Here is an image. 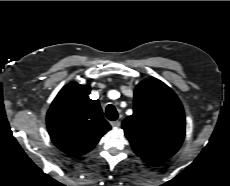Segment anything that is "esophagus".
<instances>
[{"label":"esophagus","mask_w":230,"mask_h":186,"mask_svg":"<svg viewBox=\"0 0 230 186\" xmlns=\"http://www.w3.org/2000/svg\"><path fill=\"white\" fill-rule=\"evenodd\" d=\"M110 124L113 128H118L120 127L121 122L119 120H116V121H112Z\"/></svg>","instance_id":"34e87169"}]
</instances>
